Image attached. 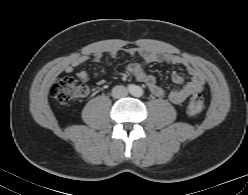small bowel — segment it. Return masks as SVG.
I'll return each mask as SVG.
<instances>
[{
	"label": "small bowel",
	"instance_id": "c3829d8e",
	"mask_svg": "<svg viewBox=\"0 0 248 195\" xmlns=\"http://www.w3.org/2000/svg\"><path fill=\"white\" fill-rule=\"evenodd\" d=\"M129 52L131 54H137L138 51L136 49H130ZM111 56H115L117 54L116 49H111L108 52ZM103 57L102 53H95L91 56H81L73 60L69 65L65 67V72L70 74L75 68L79 67L89 59L98 61ZM151 63H167L170 65H184L188 74L190 75V80L187 83H184L183 78L177 74H171V80L180 86L178 89L173 90L169 93V100L174 104H180L187 100L194 94L200 93L205 85V76L203 72L193 66L186 64L182 61V59L176 55L167 54L163 52H155L151 50H144L141 52V59L136 62H132L129 64L127 71L133 75L137 80L143 82L147 85L151 93L157 97L163 95L164 90L161 86L157 84L156 78L153 75L148 74L144 70V65ZM77 76L82 81H87L89 79V74L85 70H79L77 72ZM88 90L85 88L83 91V95L87 94Z\"/></svg>",
	"mask_w": 248,
	"mask_h": 195
}]
</instances>
